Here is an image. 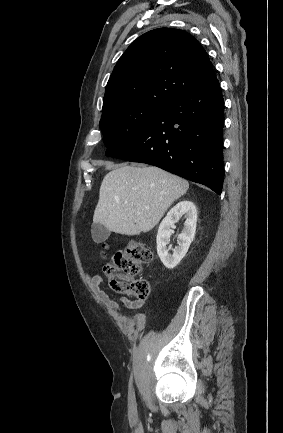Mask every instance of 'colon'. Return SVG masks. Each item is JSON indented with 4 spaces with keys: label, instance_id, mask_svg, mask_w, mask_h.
Returning <instances> with one entry per match:
<instances>
[{
    "label": "colon",
    "instance_id": "obj_1",
    "mask_svg": "<svg viewBox=\"0 0 283 433\" xmlns=\"http://www.w3.org/2000/svg\"><path fill=\"white\" fill-rule=\"evenodd\" d=\"M151 259L152 251L148 245L140 241H129L124 249L117 251L104 267L111 289L116 293L145 300L150 293L149 283L134 277Z\"/></svg>",
    "mask_w": 283,
    "mask_h": 433
}]
</instances>
